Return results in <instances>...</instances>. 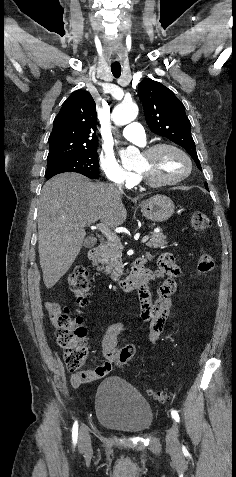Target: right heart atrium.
Returning a JSON list of instances; mask_svg holds the SVG:
<instances>
[{
	"label": "right heart atrium",
	"instance_id": "d8ad5b80",
	"mask_svg": "<svg viewBox=\"0 0 236 477\" xmlns=\"http://www.w3.org/2000/svg\"><path fill=\"white\" fill-rule=\"evenodd\" d=\"M99 163L105 178L112 184L129 186L136 180L135 175L126 170L109 152L101 153Z\"/></svg>",
	"mask_w": 236,
	"mask_h": 477
}]
</instances>
